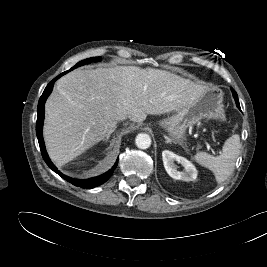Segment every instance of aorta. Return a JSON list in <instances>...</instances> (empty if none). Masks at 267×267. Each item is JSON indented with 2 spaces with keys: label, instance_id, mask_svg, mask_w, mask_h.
Instances as JSON below:
<instances>
[{
  "label": "aorta",
  "instance_id": "obj_1",
  "mask_svg": "<svg viewBox=\"0 0 267 267\" xmlns=\"http://www.w3.org/2000/svg\"><path fill=\"white\" fill-rule=\"evenodd\" d=\"M136 146L140 149H147L151 145V138L146 133H140L135 139Z\"/></svg>",
  "mask_w": 267,
  "mask_h": 267
}]
</instances>
